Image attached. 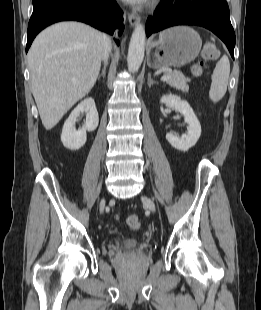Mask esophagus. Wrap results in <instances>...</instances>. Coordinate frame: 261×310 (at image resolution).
Masks as SVG:
<instances>
[{"mask_svg":"<svg viewBox=\"0 0 261 310\" xmlns=\"http://www.w3.org/2000/svg\"><path fill=\"white\" fill-rule=\"evenodd\" d=\"M128 20H129V23L132 27H135L139 21H140V16L139 15H136V14H133V13H130L128 15Z\"/></svg>","mask_w":261,"mask_h":310,"instance_id":"obj_1","label":"esophagus"}]
</instances>
